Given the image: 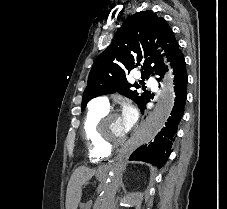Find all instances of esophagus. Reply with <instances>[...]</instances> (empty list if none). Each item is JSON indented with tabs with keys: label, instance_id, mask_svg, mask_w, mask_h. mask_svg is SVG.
<instances>
[{
	"label": "esophagus",
	"instance_id": "obj_1",
	"mask_svg": "<svg viewBox=\"0 0 227 209\" xmlns=\"http://www.w3.org/2000/svg\"><path fill=\"white\" fill-rule=\"evenodd\" d=\"M153 109L152 108H147L146 112L144 113V116H142L141 122V128H145L146 125L148 124V121L150 120V117L152 116ZM117 159H115L114 164H109L108 166H103L102 169L99 170V172L96 173L97 177H106L107 174L110 173L113 169L117 168V164H124V161L126 160V152L125 151H120Z\"/></svg>",
	"mask_w": 227,
	"mask_h": 209
}]
</instances>
